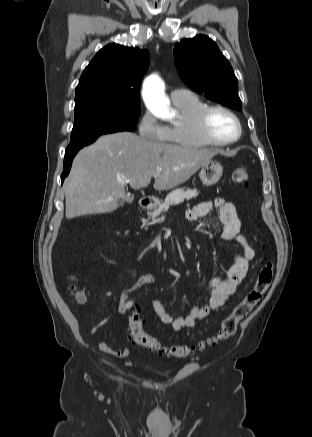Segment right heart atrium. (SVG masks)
<instances>
[{"mask_svg":"<svg viewBox=\"0 0 312 437\" xmlns=\"http://www.w3.org/2000/svg\"><path fill=\"white\" fill-rule=\"evenodd\" d=\"M139 135L148 141L161 142L166 137V127L149 111H145L138 124Z\"/></svg>","mask_w":312,"mask_h":437,"instance_id":"d8ad5b80","label":"right heart atrium"}]
</instances>
